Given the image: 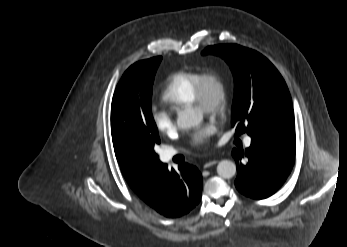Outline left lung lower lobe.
<instances>
[{
  "label": "left lung lower lobe",
  "instance_id": "1",
  "mask_svg": "<svg viewBox=\"0 0 347 247\" xmlns=\"http://www.w3.org/2000/svg\"><path fill=\"white\" fill-rule=\"evenodd\" d=\"M295 149V136L280 132L251 137V145L244 151L234 148L238 191L254 199L274 194L292 170Z\"/></svg>",
  "mask_w": 347,
  "mask_h": 247
}]
</instances>
